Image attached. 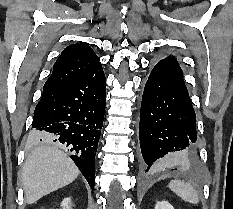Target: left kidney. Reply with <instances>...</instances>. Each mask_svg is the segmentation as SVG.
<instances>
[{
  "label": "left kidney",
  "mask_w": 233,
  "mask_h": 209,
  "mask_svg": "<svg viewBox=\"0 0 233 209\" xmlns=\"http://www.w3.org/2000/svg\"><path fill=\"white\" fill-rule=\"evenodd\" d=\"M155 209H174V208L167 201H159L156 203Z\"/></svg>",
  "instance_id": "1"
}]
</instances>
